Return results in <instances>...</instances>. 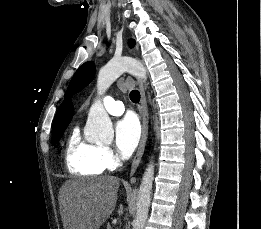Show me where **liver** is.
Here are the masks:
<instances>
[{"label":"liver","mask_w":261,"mask_h":229,"mask_svg":"<svg viewBox=\"0 0 261 229\" xmlns=\"http://www.w3.org/2000/svg\"><path fill=\"white\" fill-rule=\"evenodd\" d=\"M119 183L117 177L67 181L63 203L66 229H100L114 211Z\"/></svg>","instance_id":"obj_1"}]
</instances>
